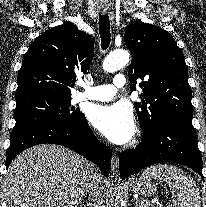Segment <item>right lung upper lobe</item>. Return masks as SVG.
<instances>
[{
  "label": "right lung upper lobe",
  "mask_w": 206,
  "mask_h": 207,
  "mask_svg": "<svg viewBox=\"0 0 206 207\" xmlns=\"http://www.w3.org/2000/svg\"><path fill=\"white\" fill-rule=\"evenodd\" d=\"M93 54V39L72 23L45 31L24 55L16 100L36 94L71 95L76 74L86 72Z\"/></svg>",
  "instance_id": "1"
}]
</instances>
